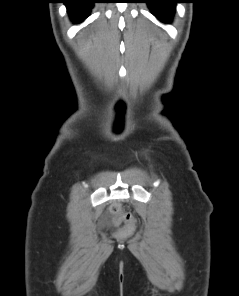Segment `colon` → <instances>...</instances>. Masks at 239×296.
<instances>
[{"label":"colon","mask_w":239,"mask_h":296,"mask_svg":"<svg viewBox=\"0 0 239 296\" xmlns=\"http://www.w3.org/2000/svg\"><path fill=\"white\" fill-rule=\"evenodd\" d=\"M110 212L115 225L124 226L129 229L135 227V220L131 213L124 210V208L119 203H114L110 208Z\"/></svg>","instance_id":"colon-1"}]
</instances>
